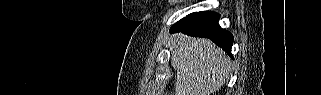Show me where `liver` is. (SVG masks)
Masks as SVG:
<instances>
[{
    "instance_id": "6515ba94",
    "label": "liver",
    "mask_w": 321,
    "mask_h": 95,
    "mask_svg": "<svg viewBox=\"0 0 321 95\" xmlns=\"http://www.w3.org/2000/svg\"><path fill=\"white\" fill-rule=\"evenodd\" d=\"M171 46V65L177 71L175 95H211L228 78L230 58L210 40L176 34Z\"/></svg>"
}]
</instances>
